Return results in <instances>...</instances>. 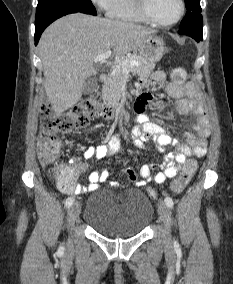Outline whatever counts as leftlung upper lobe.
Masks as SVG:
<instances>
[{
	"mask_svg": "<svg viewBox=\"0 0 233 284\" xmlns=\"http://www.w3.org/2000/svg\"><path fill=\"white\" fill-rule=\"evenodd\" d=\"M187 12L185 17L180 23L181 28H201L203 27L202 15L201 12L200 0H184Z\"/></svg>",
	"mask_w": 233,
	"mask_h": 284,
	"instance_id": "left-lung-upper-lobe-1",
	"label": "left lung upper lobe"
}]
</instances>
